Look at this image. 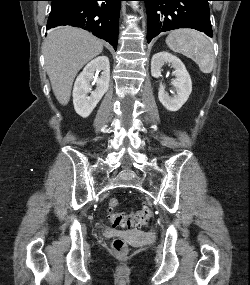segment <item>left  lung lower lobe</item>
I'll list each match as a JSON object with an SVG mask.
<instances>
[{
	"mask_svg": "<svg viewBox=\"0 0 250 285\" xmlns=\"http://www.w3.org/2000/svg\"><path fill=\"white\" fill-rule=\"evenodd\" d=\"M145 1L148 43L161 32L192 28L212 37L208 1L210 0H140Z\"/></svg>",
	"mask_w": 250,
	"mask_h": 285,
	"instance_id": "1",
	"label": "left lung lower lobe"
}]
</instances>
